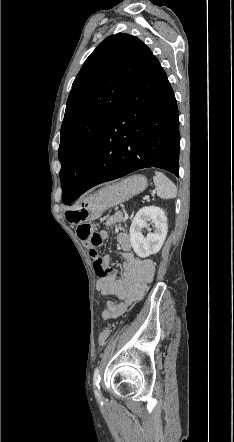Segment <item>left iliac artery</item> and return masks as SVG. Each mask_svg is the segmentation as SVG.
<instances>
[{
	"mask_svg": "<svg viewBox=\"0 0 234 442\" xmlns=\"http://www.w3.org/2000/svg\"><path fill=\"white\" fill-rule=\"evenodd\" d=\"M99 383H100V372H99V368L97 367L94 371V375H93V385H94V392L96 397L100 398V387H99Z\"/></svg>",
	"mask_w": 234,
	"mask_h": 442,
	"instance_id": "left-iliac-artery-1",
	"label": "left iliac artery"
}]
</instances>
